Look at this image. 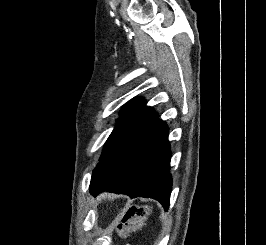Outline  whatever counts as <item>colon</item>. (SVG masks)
<instances>
[{"label": "colon", "mask_w": 266, "mask_h": 245, "mask_svg": "<svg viewBox=\"0 0 266 245\" xmlns=\"http://www.w3.org/2000/svg\"><path fill=\"white\" fill-rule=\"evenodd\" d=\"M148 210L145 206H131L127 208L118 224L117 230L121 236H126L138 230L147 215Z\"/></svg>", "instance_id": "5ec220e1"}]
</instances>
